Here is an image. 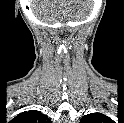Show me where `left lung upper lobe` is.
<instances>
[{"mask_svg":"<svg viewBox=\"0 0 124 123\" xmlns=\"http://www.w3.org/2000/svg\"><path fill=\"white\" fill-rule=\"evenodd\" d=\"M107 117L101 113H90L83 116L80 123H102Z\"/></svg>","mask_w":124,"mask_h":123,"instance_id":"left-lung-upper-lobe-1","label":"left lung upper lobe"}]
</instances>
